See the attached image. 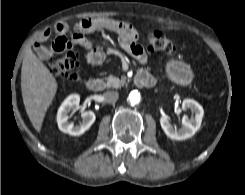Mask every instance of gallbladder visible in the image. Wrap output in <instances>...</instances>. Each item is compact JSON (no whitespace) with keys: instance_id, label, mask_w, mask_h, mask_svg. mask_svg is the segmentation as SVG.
I'll use <instances>...</instances> for the list:
<instances>
[{"instance_id":"bac80fb5","label":"gallbladder","mask_w":245,"mask_h":195,"mask_svg":"<svg viewBox=\"0 0 245 195\" xmlns=\"http://www.w3.org/2000/svg\"><path fill=\"white\" fill-rule=\"evenodd\" d=\"M39 53H40L42 56H44V55H46V54H49V55H52V54H53V52H52L50 49H48V48H41V49L39 50Z\"/></svg>"}]
</instances>
